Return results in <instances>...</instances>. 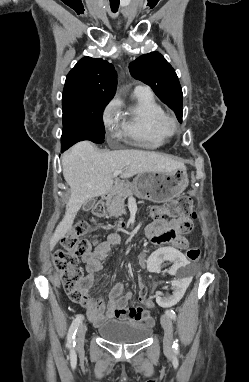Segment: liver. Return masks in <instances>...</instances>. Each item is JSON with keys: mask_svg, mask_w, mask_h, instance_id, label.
Instances as JSON below:
<instances>
[{"mask_svg": "<svg viewBox=\"0 0 249 382\" xmlns=\"http://www.w3.org/2000/svg\"><path fill=\"white\" fill-rule=\"evenodd\" d=\"M62 167L71 196L65 215L50 239V250L71 229L77 212L87 200L112 190L116 170L121 171L123 179L142 172L186 170L184 163L156 152L136 149L101 152L89 141H81L64 153Z\"/></svg>", "mask_w": 249, "mask_h": 382, "instance_id": "1", "label": "liver"}]
</instances>
